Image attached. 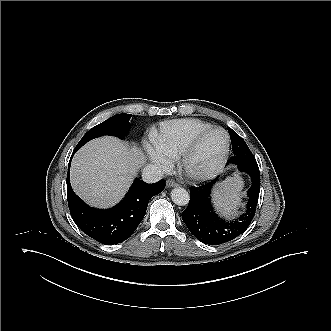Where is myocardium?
<instances>
[{
  "label": "myocardium",
  "mask_w": 331,
  "mask_h": 331,
  "mask_svg": "<svg viewBox=\"0 0 331 331\" xmlns=\"http://www.w3.org/2000/svg\"><path fill=\"white\" fill-rule=\"evenodd\" d=\"M215 131L221 132L225 138V146L220 159L208 169L202 171L190 170L188 167V162L190 158L194 155L202 140L208 134ZM229 150H230V137L227 131L221 127L212 126L206 130L201 131L188 142V144L186 145V147L184 148V150L182 151V153L178 158L179 170L185 177L193 181H203L210 179L213 176H215L218 172H220L221 169L225 166L228 159Z\"/></svg>",
  "instance_id": "f54148a6"
}]
</instances>
